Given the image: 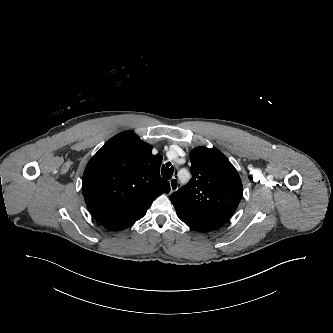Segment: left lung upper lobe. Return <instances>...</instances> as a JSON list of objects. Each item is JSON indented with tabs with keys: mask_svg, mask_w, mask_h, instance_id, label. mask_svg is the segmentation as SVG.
Returning <instances> with one entry per match:
<instances>
[{
	"mask_svg": "<svg viewBox=\"0 0 333 333\" xmlns=\"http://www.w3.org/2000/svg\"><path fill=\"white\" fill-rule=\"evenodd\" d=\"M192 179L170 195L171 202L190 206L232 203L238 206L243 187L238 172L217 149L198 147L191 151Z\"/></svg>",
	"mask_w": 333,
	"mask_h": 333,
	"instance_id": "5c2ea615",
	"label": "left lung upper lobe"
}]
</instances>
